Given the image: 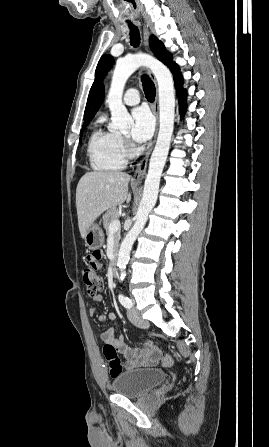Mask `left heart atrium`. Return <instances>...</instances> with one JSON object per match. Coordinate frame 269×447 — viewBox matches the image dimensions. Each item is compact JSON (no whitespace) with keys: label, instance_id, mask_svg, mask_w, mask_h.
Segmentation results:
<instances>
[{"label":"left heart atrium","instance_id":"1","mask_svg":"<svg viewBox=\"0 0 269 447\" xmlns=\"http://www.w3.org/2000/svg\"><path fill=\"white\" fill-rule=\"evenodd\" d=\"M132 138L138 143L149 140L154 132V120L146 107H138L132 112Z\"/></svg>","mask_w":269,"mask_h":447}]
</instances>
